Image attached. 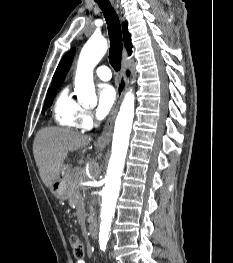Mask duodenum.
I'll return each instance as SVG.
<instances>
[{"mask_svg":"<svg viewBox=\"0 0 233 263\" xmlns=\"http://www.w3.org/2000/svg\"><path fill=\"white\" fill-rule=\"evenodd\" d=\"M98 231L97 223L95 221H91L89 223V234L92 238L96 237Z\"/></svg>","mask_w":233,"mask_h":263,"instance_id":"1","label":"duodenum"}]
</instances>
